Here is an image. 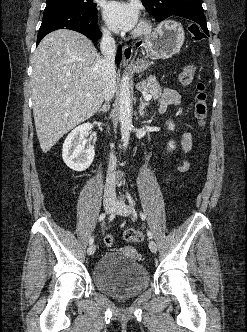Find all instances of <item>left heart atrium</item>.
<instances>
[{
    "mask_svg": "<svg viewBox=\"0 0 247 332\" xmlns=\"http://www.w3.org/2000/svg\"><path fill=\"white\" fill-rule=\"evenodd\" d=\"M104 19L115 31H132L139 25V8L131 2L111 1L104 8Z\"/></svg>",
    "mask_w": 247,
    "mask_h": 332,
    "instance_id": "left-heart-atrium-1",
    "label": "left heart atrium"
}]
</instances>
